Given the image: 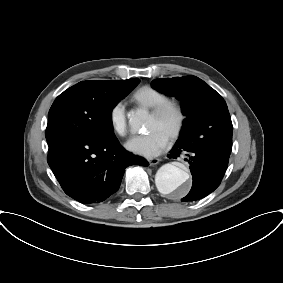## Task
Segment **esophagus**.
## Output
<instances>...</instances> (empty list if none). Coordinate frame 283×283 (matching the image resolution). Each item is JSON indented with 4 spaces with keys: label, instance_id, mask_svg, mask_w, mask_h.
<instances>
[{
    "label": "esophagus",
    "instance_id": "esophagus-1",
    "mask_svg": "<svg viewBox=\"0 0 283 283\" xmlns=\"http://www.w3.org/2000/svg\"><path fill=\"white\" fill-rule=\"evenodd\" d=\"M159 162H160V159H159V158H150V159H148V163H149L150 166L156 165V164H158Z\"/></svg>",
    "mask_w": 283,
    "mask_h": 283
}]
</instances>
